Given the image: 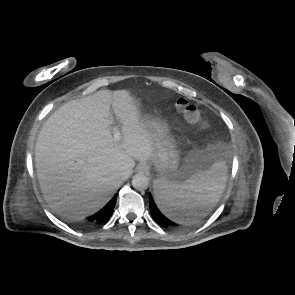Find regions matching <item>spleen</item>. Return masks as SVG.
Segmentation results:
<instances>
[{"mask_svg":"<svg viewBox=\"0 0 295 295\" xmlns=\"http://www.w3.org/2000/svg\"><path fill=\"white\" fill-rule=\"evenodd\" d=\"M226 181L227 167L218 160L181 183L156 179V202L162 213L179 223L197 221L205 215L206 208L218 201Z\"/></svg>","mask_w":295,"mask_h":295,"instance_id":"3e777b00","label":"spleen"}]
</instances>
